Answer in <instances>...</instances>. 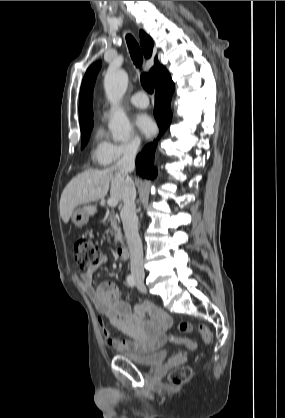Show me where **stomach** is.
<instances>
[{"label":"stomach","instance_id":"obj_1","mask_svg":"<svg viewBox=\"0 0 285 418\" xmlns=\"http://www.w3.org/2000/svg\"><path fill=\"white\" fill-rule=\"evenodd\" d=\"M92 213V208L90 206H84L83 208L77 209L72 214V222L81 227L87 224L89 217Z\"/></svg>","mask_w":285,"mask_h":418}]
</instances>
